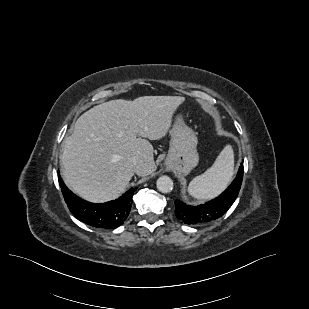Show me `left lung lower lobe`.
<instances>
[{
  "label": "left lung lower lobe",
  "instance_id": "left-lung-lower-lobe-1",
  "mask_svg": "<svg viewBox=\"0 0 309 309\" xmlns=\"http://www.w3.org/2000/svg\"><path fill=\"white\" fill-rule=\"evenodd\" d=\"M243 179V165L231 185L217 198L199 206L175 201L176 217L188 225H203L222 217L236 200Z\"/></svg>",
  "mask_w": 309,
  "mask_h": 309
}]
</instances>
